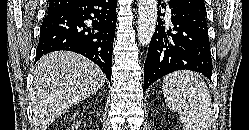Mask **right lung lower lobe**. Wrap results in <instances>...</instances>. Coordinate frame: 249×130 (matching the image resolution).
<instances>
[{
  "instance_id": "right-lung-lower-lobe-1",
  "label": "right lung lower lobe",
  "mask_w": 249,
  "mask_h": 130,
  "mask_svg": "<svg viewBox=\"0 0 249 130\" xmlns=\"http://www.w3.org/2000/svg\"><path fill=\"white\" fill-rule=\"evenodd\" d=\"M116 7V0H78L61 12L47 15L35 61L52 51H73L95 62L111 82Z\"/></svg>"
}]
</instances>
